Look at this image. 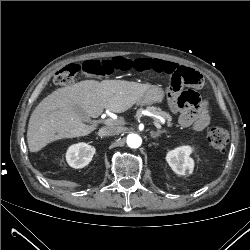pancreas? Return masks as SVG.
Masks as SVG:
<instances>
[{
    "mask_svg": "<svg viewBox=\"0 0 250 250\" xmlns=\"http://www.w3.org/2000/svg\"><path fill=\"white\" fill-rule=\"evenodd\" d=\"M146 110L153 113V114H155V115L161 116L162 118H164L166 120L168 127H172V125H173L172 117H171V115L169 113H167L165 111H162L160 108H157V107H154V106H152V107L148 106L146 108ZM141 111H142V109H139L137 111V114H136L137 118L141 117ZM117 123L119 124L120 122H117Z\"/></svg>",
    "mask_w": 250,
    "mask_h": 250,
    "instance_id": "cf45deb5",
    "label": "pancreas"
}]
</instances>
